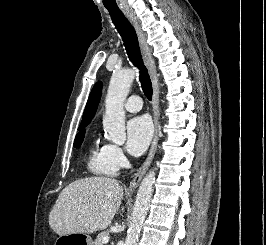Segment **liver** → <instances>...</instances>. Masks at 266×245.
<instances>
[{
  "label": "liver",
  "mask_w": 266,
  "mask_h": 245,
  "mask_svg": "<svg viewBox=\"0 0 266 245\" xmlns=\"http://www.w3.org/2000/svg\"><path fill=\"white\" fill-rule=\"evenodd\" d=\"M123 191L119 181L107 177L74 181L61 191L49 215V225L60 237L104 231L120 209ZM123 213L121 207V217Z\"/></svg>",
  "instance_id": "liver-1"
}]
</instances>
